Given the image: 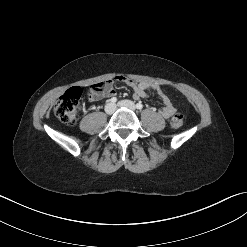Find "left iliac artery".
Here are the masks:
<instances>
[{
    "label": "left iliac artery",
    "instance_id": "left-iliac-artery-1",
    "mask_svg": "<svg viewBox=\"0 0 247 247\" xmlns=\"http://www.w3.org/2000/svg\"><path fill=\"white\" fill-rule=\"evenodd\" d=\"M136 108L141 110L143 108V105L139 102L136 104Z\"/></svg>",
    "mask_w": 247,
    "mask_h": 247
}]
</instances>
